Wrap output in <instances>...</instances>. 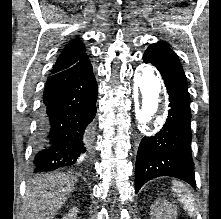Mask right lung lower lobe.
Returning <instances> with one entry per match:
<instances>
[{"label": "right lung lower lobe", "instance_id": "98d812e1", "mask_svg": "<svg viewBox=\"0 0 221 219\" xmlns=\"http://www.w3.org/2000/svg\"><path fill=\"white\" fill-rule=\"evenodd\" d=\"M97 82L88 57L51 75L38 120L33 171H53L92 156L90 124L96 114Z\"/></svg>", "mask_w": 221, "mask_h": 219}]
</instances>
